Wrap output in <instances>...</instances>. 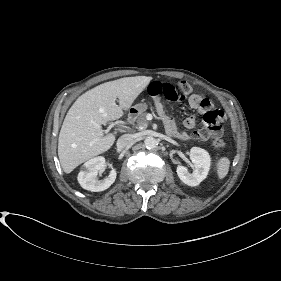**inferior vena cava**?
<instances>
[{
    "label": "inferior vena cava",
    "mask_w": 281,
    "mask_h": 281,
    "mask_svg": "<svg viewBox=\"0 0 281 281\" xmlns=\"http://www.w3.org/2000/svg\"><path fill=\"white\" fill-rule=\"evenodd\" d=\"M133 136L131 134H124L117 140V147L124 148L132 143Z\"/></svg>",
    "instance_id": "obj_1"
}]
</instances>
